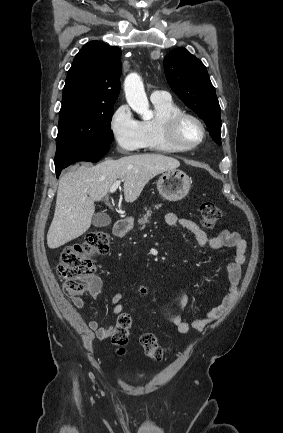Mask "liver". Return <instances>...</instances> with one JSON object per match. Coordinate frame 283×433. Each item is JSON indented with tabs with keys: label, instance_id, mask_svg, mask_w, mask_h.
<instances>
[{
	"label": "liver",
	"instance_id": "obj_1",
	"mask_svg": "<svg viewBox=\"0 0 283 433\" xmlns=\"http://www.w3.org/2000/svg\"><path fill=\"white\" fill-rule=\"evenodd\" d=\"M179 160L164 154H131L118 160H103L92 166L82 162L74 172L59 178L53 221L47 235L49 249L81 237L91 227L95 200H102L117 178L123 180L126 202H134L150 178L175 170Z\"/></svg>",
	"mask_w": 283,
	"mask_h": 433
}]
</instances>
